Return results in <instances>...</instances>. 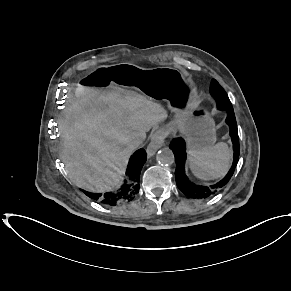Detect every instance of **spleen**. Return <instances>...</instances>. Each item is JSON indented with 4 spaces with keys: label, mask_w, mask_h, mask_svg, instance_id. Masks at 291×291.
Returning a JSON list of instances; mask_svg holds the SVG:
<instances>
[{
    "label": "spleen",
    "mask_w": 291,
    "mask_h": 291,
    "mask_svg": "<svg viewBox=\"0 0 291 291\" xmlns=\"http://www.w3.org/2000/svg\"><path fill=\"white\" fill-rule=\"evenodd\" d=\"M189 167L193 174L204 180L223 177L229 169L230 149L224 142L200 150L189 151Z\"/></svg>",
    "instance_id": "obj_1"
}]
</instances>
